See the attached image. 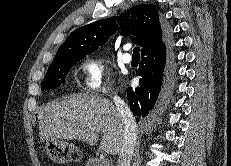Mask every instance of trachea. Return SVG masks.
I'll return each mask as SVG.
<instances>
[{
    "instance_id": "trachea-1",
    "label": "trachea",
    "mask_w": 231,
    "mask_h": 166,
    "mask_svg": "<svg viewBox=\"0 0 231 166\" xmlns=\"http://www.w3.org/2000/svg\"><path fill=\"white\" fill-rule=\"evenodd\" d=\"M132 57H140V48L134 47Z\"/></svg>"
}]
</instances>
